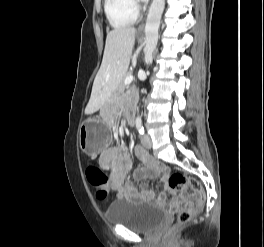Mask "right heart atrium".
<instances>
[{
  "instance_id": "obj_1",
  "label": "right heart atrium",
  "mask_w": 264,
  "mask_h": 247,
  "mask_svg": "<svg viewBox=\"0 0 264 247\" xmlns=\"http://www.w3.org/2000/svg\"><path fill=\"white\" fill-rule=\"evenodd\" d=\"M129 3H130V5H131L133 8H136V7H137V2H136V0H129Z\"/></svg>"
}]
</instances>
